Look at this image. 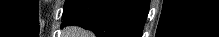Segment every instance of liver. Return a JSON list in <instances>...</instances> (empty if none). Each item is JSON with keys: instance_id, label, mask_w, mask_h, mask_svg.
<instances>
[{"instance_id": "1", "label": "liver", "mask_w": 219, "mask_h": 37, "mask_svg": "<svg viewBox=\"0 0 219 37\" xmlns=\"http://www.w3.org/2000/svg\"><path fill=\"white\" fill-rule=\"evenodd\" d=\"M64 37H91V33L77 26H70L64 29Z\"/></svg>"}]
</instances>
